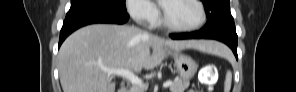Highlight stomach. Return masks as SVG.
I'll return each instance as SVG.
<instances>
[{"label": "stomach", "mask_w": 296, "mask_h": 92, "mask_svg": "<svg viewBox=\"0 0 296 92\" xmlns=\"http://www.w3.org/2000/svg\"><path fill=\"white\" fill-rule=\"evenodd\" d=\"M173 57L180 78L189 81L197 71V63L190 56L179 52L173 53Z\"/></svg>", "instance_id": "1"}]
</instances>
